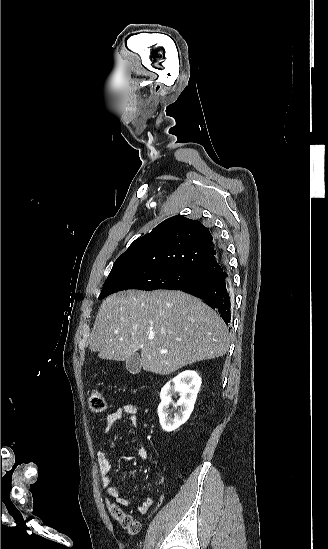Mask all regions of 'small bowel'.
<instances>
[{"mask_svg":"<svg viewBox=\"0 0 328 549\" xmlns=\"http://www.w3.org/2000/svg\"><path fill=\"white\" fill-rule=\"evenodd\" d=\"M138 406L133 403H125L121 405L120 407L113 410L106 419V424L104 427V433L107 434L113 425L118 422L122 417L126 416L128 417V420L133 424L137 425V413H138ZM147 449L144 445H141L139 448V451L137 453V458L140 460H144L147 458ZM99 473L101 477V484L103 488H105L107 495L115 500V502L122 506H128L130 504V501L126 498H124L121 495V492L118 488L113 486L111 481V466L107 459L106 453L104 450L99 449L96 453ZM164 482V477L161 476L159 479V484H162ZM155 504V498L148 497L143 504L140 507L141 513H147L152 506Z\"/></svg>","mask_w":328,"mask_h":549,"instance_id":"1","label":"small bowel"}]
</instances>
